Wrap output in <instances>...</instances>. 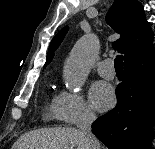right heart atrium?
Wrapping results in <instances>:
<instances>
[{"label": "right heart atrium", "mask_w": 155, "mask_h": 149, "mask_svg": "<svg viewBox=\"0 0 155 149\" xmlns=\"http://www.w3.org/2000/svg\"><path fill=\"white\" fill-rule=\"evenodd\" d=\"M56 117L66 125L92 123L96 114L79 92L61 91L55 98Z\"/></svg>", "instance_id": "obj_1"}]
</instances>
